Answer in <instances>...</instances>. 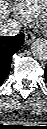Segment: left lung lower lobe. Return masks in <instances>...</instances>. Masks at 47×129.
I'll return each instance as SVG.
<instances>
[{
  "instance_id": "left-lung-lower-lobe-1",
  "label": "left lung lower lobe",
  "mask_w": 47,
  "mask_h": 129,
  "mask_svg": "<svg viewBox=\"0 0 47 129\" xmlns=\"http://www.w3.org/2000/svg\"><path fill=\"white\" fill-rule=\"evenodd\" d=\"M45 76H46V81H47V66L45 68Z\"/></svg>"
}]
</instances>
